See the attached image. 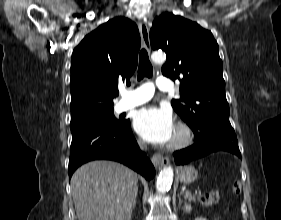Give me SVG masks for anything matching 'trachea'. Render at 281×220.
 I'll list each match as a JSON object with an SVG mask.
<instances>
[{"label":"trachea","instance_id":"3493384b","mask_svg":"<svg viewBox=\"0 0 281 220\" xmlns=\"http://www.w3.org/2000/svg\"><path fill=\"white\" fill-rule=\"evenodd\" d=\"M153 67L149 61L148 53L145 49H142L139 56V68H138V80L144 77H152Z\"/></svg>","mask_w":281,"mask_h":220}]
</instances>
